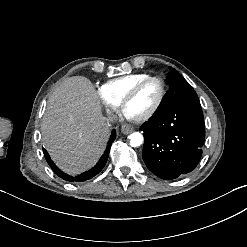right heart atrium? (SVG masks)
<instances>
[{
  "mask_svg": "<svg viewBox=\"0 0 247 247\" xmlns=\"http://www.w3.org/2000/svg\"><path fill=\"white\" fill-rule=\"evenodd\" d=\"M116 105H117V104H113V103L107 101V102L103 105V108H104V110H105L106 112H110V111H112V110H114V109L116 108Z\"/></svg>",
  "mask_w": 247,
  "mask_h": 247,
  "instance_id": "right-heart-atrium-1",
  "label": "right heart atrium"
}]
</instances>
